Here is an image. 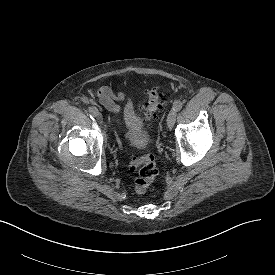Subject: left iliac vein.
<instances>
[{"label": "left iliac vein", "mask_w": 275, "mask_h": 275, "mask_svg": "<svg viewBox=\"0 0 275 275\" xmlns=\"http://www.w3.org/2000/svg\"><path fill=\"white\" fill-rule=\"evenodd\" d=\"M176 117H177V111L176 110H171L168 114L167 117V126L171 129L176 121Z\"/></svg>", "instance_id": "obj_1"}]
</instances>
